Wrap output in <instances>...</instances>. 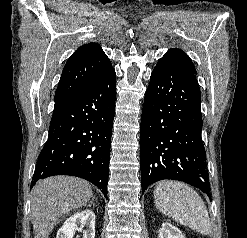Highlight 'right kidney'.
I'll return each mask as SVG.
<instances>
[{
    "label": "right kidney",
    "instance_id": "ca27d5eb",
    "mask_svg": "<svg viewBox=\"0 0 247 238\" xmlns=\"http://www.w3.org/2000/svg\"><path fill=\"white\" fill-rule=\"evenodd\" d=\"M86 226L83 230V238H95V214L86 209L69 217L58 230L56 238H73L75 231Z\"/></svg>",
    "mask_w": 247,
    "mask_h": 238
}]
</instances>
